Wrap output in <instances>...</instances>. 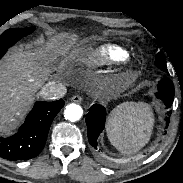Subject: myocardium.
<instances>
[{
	"label": "myocardium",
	"mask_w": 183,
	"mask_h": 183,
	"mask_svg": "<svg viewBox=\"0 0 183 183\" xmlns=\"http://www.w3.org/2000/svg\"><path fill=\"white\" fill-rule=\"evenodd\" d=\"M123 67L125 68H129L132 65V60L129 56H127L126 58H124L123 60H121L120 63Z\"/></svg>",
	"instance_id": "myocardium-1"
}]
</instances>
